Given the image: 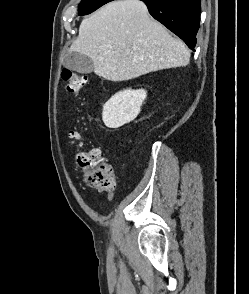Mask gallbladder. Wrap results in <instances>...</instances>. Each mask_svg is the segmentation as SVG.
<instances>
[{
  "instance_id": "gallbladder-1",
  "label": "gallbladder",
  "mask_w": 249,
  "mask_h": 294,
  "mask_svg": "<svg viewBox=\"0 0 249 294\" xmlns=\"http://www.w3.org/2000/svg\"><path fill=\"white\" fill-rule=\"evenodd\" d=\"M63 66L71 71L82 74L91 73L94 69L91 58L78 52H69L66 54L63 60Z\"/></svg>"
}]
</instances>
